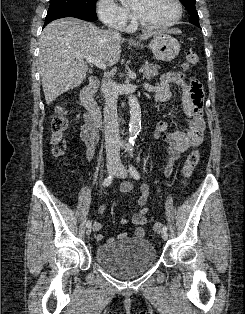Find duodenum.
<instances>
[{
	"label": "duodenum",
	"mask_w": 245,
	"mask_h": 314,
	"mask_svg": "<svg viewBox=\"0 0 245 314\" xmlns=\"http://www.w3.org/2000/svg\"><path fill=\"white\" fill-rule=\"evenodd\" d=\"M99 79L97 76H91L88 83L82 88L80 92V100L87 110V115L95 127L103 128V116L101 110L97 105L94 94L98 88ZM124 109H121L119 119L122 120Z\"/></svg>",
	"instance_id": "410a0bca"
}]
</instances>
